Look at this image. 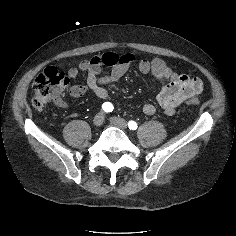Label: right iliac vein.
Segmentation results:
<instances>
[{
  "label": "right iliac vein",
  "instance_id": "63e3f726",
  "mask_svg": "<svg viewBox=\"0 0 236 236\" xmlns=\"http://www.w3.org/2000/svg\"><path fill=\"white\" fill-rule=\"evenodd\" d=\"M104 122V114L103 113H98L94 119H93V124L95 126H101Z\"/></svg>",
  "mask_w": 236,
  "mask_h": 236
}]
</instances>
